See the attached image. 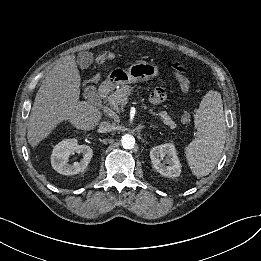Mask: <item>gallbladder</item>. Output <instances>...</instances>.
<instances>
[{
    "label": "gallbladder",
    "mask_w": 261,
    "mask_h": 261,
    "mask_svg": "<svg viewBox=\"0 0 261 261\" xmlns=\"http://www.w3.org/2000/svg\"><path fill=\"white\" fill-rule=\"evenodd\" d=\"M77 62L82 70L87 69L93 62V56L92 54L80 53ZM85 99L94 105L97 103L98 96L94 87L86 88Z\"/></svg>",
    "instance_id": "obj_1"
}]
</instances>
